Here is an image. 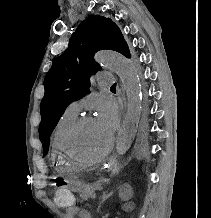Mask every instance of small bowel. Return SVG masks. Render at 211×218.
<instances>
[{
  "label": "small bowel",
  "instance_id": "obj_1",
  "mask_svg": "<svg viewBox=\"0 0 211 218\" xmlns=\"http://www.w3.org/2000/svg\"><path fill=\"white\" fill-rule=\"evenodd\" d=\"M77 211H78V210H77V208H75V207H72V208H70V209L68 210V212H69V213H72V214H73V213H76ZM80 212H81V210H80L79 213H78L79 216H80Z\"/></svg>",
  "mask_w": 211,
  "mask_h": 218
}]
</instances>
